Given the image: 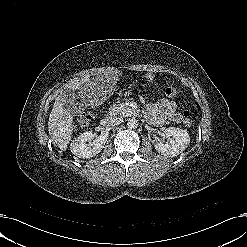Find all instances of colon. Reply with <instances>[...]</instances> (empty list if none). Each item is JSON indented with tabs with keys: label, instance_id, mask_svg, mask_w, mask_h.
Masks as SVG:
<instances>
[{
	"label": "colon",
	"instance_id": "5ec220e1",
	"mask_svg": "<svg viewBox=\"0 0 247 247\" xmlns=\"http://www.w3.org/2000/svg\"><path fill=\"white\" fill-rule=\"evenodd\" d=\"M165 95L168 97H175L177 95V88L173 85L167 86L165 88ZM181 119L184 124L191 125L192 124V117L189 111L184 110L181 114ZM95 118V115L91 111L84 112L78 119V123L81 126H86L90 124Z\"/></svg>",
	"mask_w": 247,
	"mask_h": 247
}]
</instances>
